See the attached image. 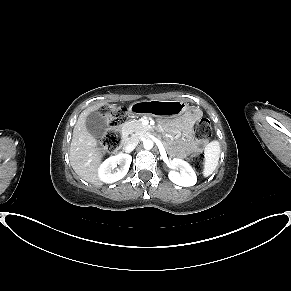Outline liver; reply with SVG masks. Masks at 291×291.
Returning <instances> with one entry per match:
<instances>
[{
  "instance_id": "liver-1",
  "label": "liver",
  "mask_w": 291,
  "mask_h": 291,
  "mask_svg": "<svg viewBox=\"0 0 291 291\" xmlns=\"http://www.w3.org/2000/svg\"><path fill=\"white\" fill-rule=\"evenodd\" d=\"M104 103L97 104L92 108L84 110L74 127L73 137L69 150V159L76 174L93 185H101L97 176L98 167L101 162V153L97 140L86 128V117L92 110L99 109Z\"/></svg>"
}]
</instances>
